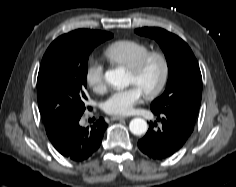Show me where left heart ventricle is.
<instances>
[{
  "instance_id": "b2bd125f",
  "label": "left heart ventricle",
  "mask_w": 236,
  "mask_h": 187,
  "mask_svg": "<svg viewBox=\"0 0 236 187\" xmlns=\"http://www.w3.org/2000/svg\"><path fill=\"white\" fill-rule=\"evenodd\" d=\"M161 65L157 60L150 61L140 76L135 77L129 72V84L138 86L144 93L153 89L161 77Z\"/></svg>"
}]
</instances>
